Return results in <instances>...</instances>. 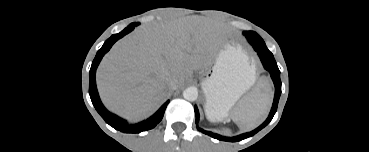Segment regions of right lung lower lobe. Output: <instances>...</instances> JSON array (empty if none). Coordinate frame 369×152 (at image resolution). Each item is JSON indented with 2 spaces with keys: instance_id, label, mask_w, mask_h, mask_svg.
Segmentation results:
<instances>
[{
  "instance_id": "obj_1",
  "label": "right lung lower lobe",
  "mask_w": 369,
  "mask_h": 152,
  "mask_svg": "<svg viewBox=\"0 0 369 152\" xmlns=\"http://www.w3.org/2000/svg\"><path fill=\"white\" fill-rule=\"evenodd\" d=\"M138 24L139 23H132L120 33L112 35L103 44L102 48L97 52L96 57L91 66L90 73H89V76H90L89 94H90V98H91V101L95 109L102 116V118L106 121V123H108L110 126L115 128L116 130H119L124 133H140L142 131H146V130L154 128L162 120L165 109L169 103V101L164 103L162 107L146 121L140 122L135 125H129L123 119L107 111L99 98L97 87H96L95 74H96V69L102 57L118 39L122 38L124 35L131 32L134 29V27L137 26Z\"/></svg>"
}]
</instances>
